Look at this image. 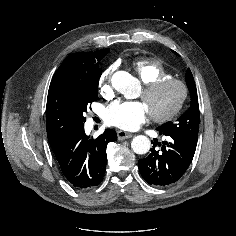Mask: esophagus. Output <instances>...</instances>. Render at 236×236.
<instances>
[{"mask_svg":"<svg viewBox=\"0 0 236 236\" xmlns=\"http://www.w3.org/2000/svg\"><path fill=\"white\" fill-rule=\"evenodd\" d=\"M117 136L119 140H124L132 137V134L126 131L118 130Z\"/></svg>","mask_w":236,"mask_h":236,"instance_id":"34e87169","label":"esophagus"}]
</instances>
